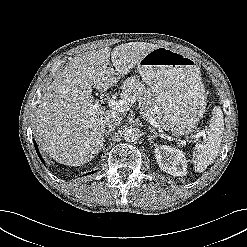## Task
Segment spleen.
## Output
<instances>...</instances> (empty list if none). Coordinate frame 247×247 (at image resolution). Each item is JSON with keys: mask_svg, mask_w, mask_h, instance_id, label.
I'll return each instance as SVG.
<instances>
[{"mask_svg": "<svg viewBox=\"0 0 247 247\" xmlns=\"http://www.w3.org/2000/svg\"><path fill=\"white\" fill-rule=\"evenodd\" d=\"M224 119L220 107H214L209 125L207 141L194 148L193 163L196 172H203L211 165L219 153L223 138Z\"/></svg>", "mask_w": 247, "mask_h": 247, "instance_id": "obj_1", "label": "spleen"}]
</instances>
